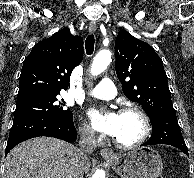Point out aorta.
<instances>
[{
  "label": "aorta",
  "mask_w": 194,
  "mask_h": 178,
  "mask_svg": "<svg viewBox=\"0 0 194 178\" xmlns=\"http://www.w3.org/2000/svg\"><path fill=\"white\" fill-rule=\"evenodd\" d=\"M111 52L109 50H101L94 58L90 72L93 76L101 74L111 62ZM92 178H105L103 170H97Z\"/></svg>",
  "instance_id": "762f6f07"
}]
</instances>
